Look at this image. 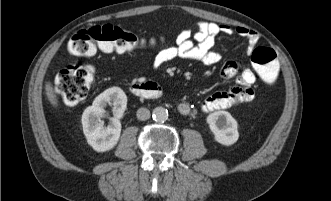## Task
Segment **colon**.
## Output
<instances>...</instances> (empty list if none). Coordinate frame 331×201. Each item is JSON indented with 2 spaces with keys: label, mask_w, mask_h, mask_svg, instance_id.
<instances>
[{
  "label": "colon",
  "mask_w": 331,
  "mask_h": 201,
  "mask_svg": "<svg viewBox=\"0 0 331 201\" xmlns=\"http://www.w3.org/2000/svg\"><path fill=\"white\" fill-rule=\"evenodd\" d=\"M145 44L135 34L111 24L97 25L79 30L68 42L72 55L86 56L97 51L128 52ZM261 79L273 84L278 76L279 65L276 53L271 48L259 47L251 56ZM94 80V71L86 65H69L56 77V91L67 105L85 99Z\"/></svg>",
  "instance_id": "colon-1"
}]
</instances>
